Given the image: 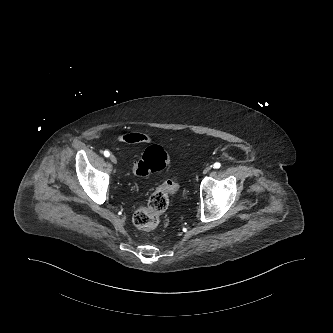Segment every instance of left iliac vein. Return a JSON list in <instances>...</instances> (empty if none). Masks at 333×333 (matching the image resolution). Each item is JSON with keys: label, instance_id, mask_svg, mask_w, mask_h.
Masks as SVG:
<instances>
[{"label": "left iliac vein", "instance_id": "obj_1", "mask_svg": "<svg viewBox=\"0 0 333 333\" xmlns=\"http://www.w3.org/2000/svg\"><path fill=\"white\" fill-rule=\"evenodd\" d=\"M211 170V166H207L203 170V174H207Z\"/></svg>", "mask_w": 333, "mask_h": 333}]
</instances>
